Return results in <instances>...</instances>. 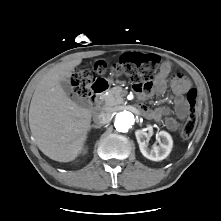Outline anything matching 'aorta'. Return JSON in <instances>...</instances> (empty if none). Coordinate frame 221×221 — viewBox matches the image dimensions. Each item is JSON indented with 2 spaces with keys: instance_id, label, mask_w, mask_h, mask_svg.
Masks as SVG:
<instances>
[{
  "instance_id": "aorta-1",
  "label": "aorta",
  "mask_w": 221,
  "mask_h": 221,
  "mask_svg": "<svg viewBox=\"0 0 221 221\" xmlns=\"http://www.w3.org/2000/svg\"><path fill=\"white\" fill-rule=\"evenodd\" d=\"M135 123V116L132 112L124 110L117 113L114 126L119 132H127Z\"/></svg>"
}]
</instances>
